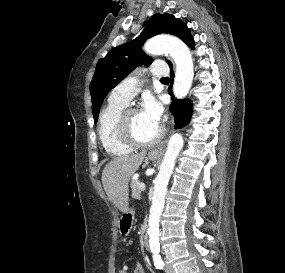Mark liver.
Returning a JSON list of instances; mask_svg holds the SVG:
<instances>
[{
  "instance_id": "1",
  "label": "liver",
  "mask_w": 285,
  "mask_h": 273,
  "mask_svg": "<svg viewBox=\"0 0 285 273\" xmlns=\"http://www.w3.org/2000/svg\"><path fill=\"white\" fill-rule=\"evenodd\" d=\"M146 151L131 156L117 157L111 160L102 172V184L109 199L123 213L129 208L130 177L142 164Z\"/></svg>"
}]
</instances>
